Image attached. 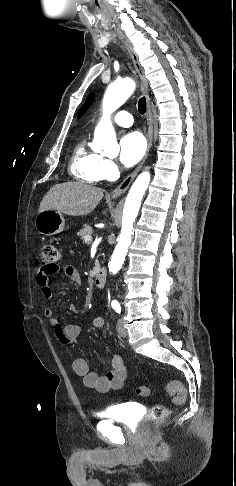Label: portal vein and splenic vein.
<instances>
[{
  "label": "portal vein and splenic vein",
  "instance_id": "obj_1",
  "mask_svg": "<svg viewBox=\"0 0 236 486\" xmlns=\"http://www.w3.org/2000/svg\"><path fill=\"white\" fill-rule=\"evenodd\" d=\"M84 241L85 242H91L92 241V237L87 235V236H85Z\"/></svg>",
  "mask_w": 236,
  "mask_h": 486
}]
</instances>
